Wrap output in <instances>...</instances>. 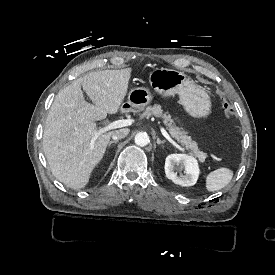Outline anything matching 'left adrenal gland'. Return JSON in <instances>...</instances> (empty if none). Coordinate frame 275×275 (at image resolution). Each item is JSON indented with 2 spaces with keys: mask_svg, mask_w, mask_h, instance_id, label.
<instances>
[{
  "mask_svg": "<svg viewBox=\"0 0 275 275\" xmlns=\"http://www.w3.org/2000/svg\"><path fill=\"white\" fill-rule=\"evenodd\" d=\"M166 141L165 140H160L158 137H157V144L160 145V144H164Z\"/></svg>",
  "mask_w": 275,
  "mask_h": 275,
  "instance_id": "a2214340",
  "label": "left adrenal gland"
}]
</instances>
